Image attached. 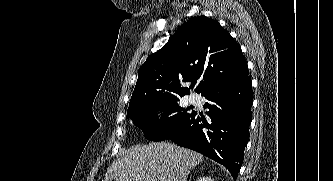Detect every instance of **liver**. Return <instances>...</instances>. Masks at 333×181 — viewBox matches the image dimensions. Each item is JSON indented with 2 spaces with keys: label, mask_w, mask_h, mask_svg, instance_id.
<instances>
[{
  "label": "liver",
  "mask_w": 333,
  "mask_h": 181,
  "mask_svg": "<svg viewBox=\"0 0 333 181\" xmlns=\"http://www.w3.org/2000/svg\"><path fill=\"white\" fill-rule=\"evenodd\" d=\"M202 161V154L171 143L135 146L111 164L103 181H187Z\"/></svg>",
  "instance_id": "1"
}]
</instances>
